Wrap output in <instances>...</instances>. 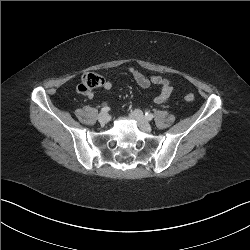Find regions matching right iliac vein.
<instances>
[{
	"instance_id": "63e3f726",
	"label": "right iliac vein",
	"mask_w": 250,
	"mask_h": 250,
	"mask_svg": "<svg viewBox=\"0 0 250 250\" xmlns=\"http://www.w3.org/2000/svg\"><path fill=\"white\" fill-rule=\"evenodd\" d=\"M98 121H99L101 124L107 123V121H108V114L105 113V112H101V113L98 115Z\"/></svg>"
}]
</instances>
